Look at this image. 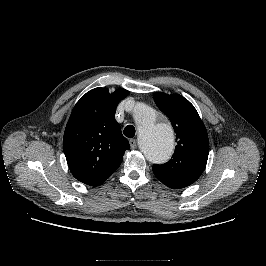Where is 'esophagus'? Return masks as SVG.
<instances>
[{"mask_svg": "<svg viewBox=\"0 0 266 266\" xmlns=\"http://www.w3.org/2000/svg\"><path fill=\"white\" fill-rule=\"evenodd\" d=\"M129 144H130L131 149L136 148V140L135 139H130Z\"/></svg>", "mask_w": 266, "mask_h": 266, "instance_id": "34e87169", "label": "esophagus"}]
</instances>
